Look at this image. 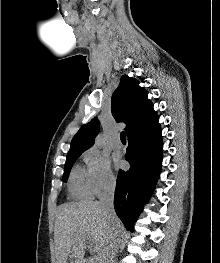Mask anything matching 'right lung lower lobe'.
Masks as SVG:
<instances>
[{"label":"right lung lower lobe","mask_w":220,"mask_h":263,"mask_svg":"<svg viewBox=\"0 0 220 263\" xmlns=\"http://www.w3.org/2000/svg\"><path fill=\"white\" fill-rule=\"evenodd\" d=\"M162 137L160 126L128 138L125 159L128 171L119 170L116 181L114 208L127 230L150 197L161 169Z\"/></svg>","instance_id":"1"}]
</instances>
